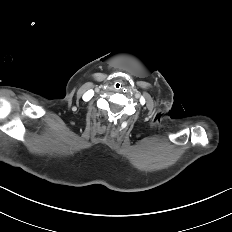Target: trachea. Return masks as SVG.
<instances>
[{"label": "trachea", "instance_id": "obj_1", "mask_svg": "<svg viewBox=\"0 0 232 232\" xmlns=\"http://www.w3.org/2000/svg\"><path fill=\"white\" fill-rule=\"evenodd\" d=\"M113 87L115 90H122V88L124 87V84L120 81H116L114 84H113Z\"/></svg>", "mask_w": 232, "mask_h": 232}]
</instances>
